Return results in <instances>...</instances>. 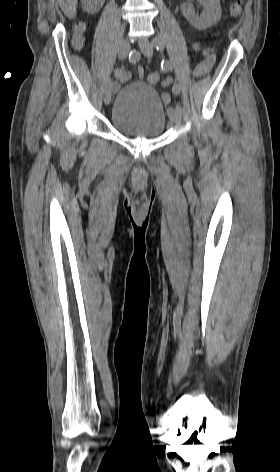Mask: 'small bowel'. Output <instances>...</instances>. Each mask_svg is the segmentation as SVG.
I'll use <instances>...</instances> for the list:
<instances>
[{
	"instance_id": "small-bowel-1",
	"label": "small bowel",
	"mask_w": 280,
	"mask_h": 472,
	"mask_svg": "<svg viewBox=\"0 0 280 472\" xmlns=\"http://www.w3.org/2000/svg\"><path fill=\"white\" fill-rule=\"evenodd\" d=\"M85 29H86V23H80L75 29V33H74V37H73V44H74L76 49H81L82 46H83V43H84L83 33H84ZM213 64H214V57L212 55H210V56H208L207 58H205L204 60H202L201 62H199L198 64H196L194 66V68H193L194 76L195 77H202V76L206 75L211 70ZM138 75H139L140 78L144 77V69H143L142 66L138 67ZM122 81H124V80H122ZM170 83H171V79L167 78L163 81L162 84L164 86H168V85H170ZM162 99L165 102H169L171 98L168 94L164 93V94H162Z\"/></svg>"
}]
</instances>
